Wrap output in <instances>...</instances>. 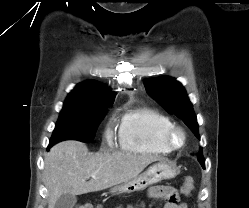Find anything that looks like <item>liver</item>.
<instances>
[{
  "mask_svg": "<svg viewBox=\"0 0 249 208\" xmlns=\"http://www.w3.org/2000/svg\"><path fill=\"white\" fill-rule=\"evenodd\" d=\"M162 160L149 154L88 152L79 141L54 145L44 159V182L49 192L48 208L63 194L81 195L118 186L136 178L149 164ZM95 175V178L89 177Z\"/></svg>",
  "mask_w": 249,
  "mask_h": 208,
  "instance_id": "1",
  "label": "liver"
}]
</instances>
